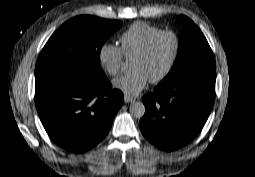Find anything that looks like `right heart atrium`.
<instances>
[{"label":"right heart atrium","instance_id":"obj_1","mask_svg":"<svg viewBox=\"0 0 255 177\" xmlns=\"http://www.w3.org/2000/svg\"><path fill=\"white\" fill-rule=\"evenodd\" d=\"M122 49L112 43L103 44L99 51V61L110 76H117L123 64Z\"/></svg>","mask_w":255,"mask_h":177}]
</instances>
